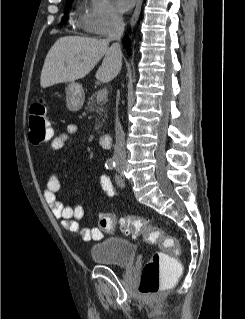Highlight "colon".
Returning <instances> with one entry per match:
<instances>
[{
    "label": "colon",
    "mask_w": 245,
    "mask_h": 319,
    "mask_svg": "<svg viewBox=\"0 0 245 319\" xmlns=\"http://www.w3.org/2000/svg\"><path fill=\"white\" fill-rule=\"evenodd\" d=\"M47 105L39 100L30 107L29 139L34 145H40L51 138L52 130L47 117ZM119 226L126 235L144 236L147 242L158 244L166 251L179 252L175 237L164 236L162 231L151 221L126 214L117 219L110 213L99 216V227L108 232H114ZM182 271V267L173 262L164 251L154 253L142 269L139 291L151 296L158 293L163 287L173 281Z\"/></svg>",
    "instance_id": "colon-1"
}]
</instances>
